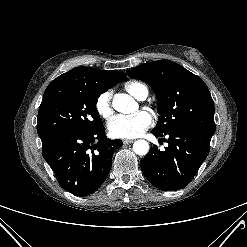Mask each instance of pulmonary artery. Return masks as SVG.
<instances>
[{
	"mask_svg": "<svg viewBox=\"0 0 247 247\" xmlns=\"http://www.w3.org/2000/svg\"><path fill=\"white\" fill-rule=\"evenodd\" d=\"M145 98H146V96L142 97L141 99H145Z\"/></svg>",
	"mask_w": 247,
	"mask_h": 247,
	"instance_id": "pulmonary-artery-1",
	"label": "pulmonary artery"
}]
</instances>
